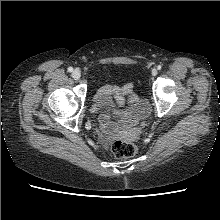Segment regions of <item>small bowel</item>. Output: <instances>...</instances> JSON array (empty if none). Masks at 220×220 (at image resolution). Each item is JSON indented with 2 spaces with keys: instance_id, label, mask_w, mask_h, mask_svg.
Masks as SVG:
<instances>
[{
  "instance_id": "1",
  "label": "small bowel",
  "mask_w": 220,
  "mask_h": 220,
  "mask_svg": "<svg viewBox=\"0 0 220 220\" xmlns=\"http://www.w3.org/2000/svg\"><path fill=\"white\" fill-rule=\"evenodd\" d=\"M104 90L112 95L117 107L120 110H124L126 103L129 106H134L138 101L139 97L134 92V85L132 83H127L123 87H119L117 85H111L104 87ZM92 111L99 114V120L101 127L104 131H108L110 129L109 118L111 114V108L108 103L98 105L94 103L92 105Z\"/></svg>"
}]
</instances>
